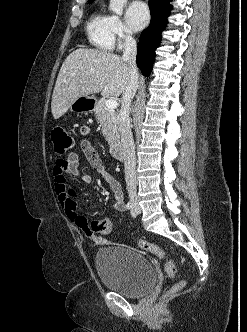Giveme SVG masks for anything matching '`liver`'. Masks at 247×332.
Returning <instances> with one entry per match:
<instances>
[{"instance_id": "6515ba94", "label": "liver", "mask_w": 247, "mask_h": 332, "mask_svg": "<svg viewBox=\"0 0 247 332\" xmlns=\"http://www.w3.org/2000/svg\"><path fill=\"white\" fill-rule=\"evenodd\" d=\"M129 82L130 66L120 56L97 49H76L59 71L51 101L52 115L59 119L82 96L101 92L104 97H118Z\"/></svg>"}]
</instances>
